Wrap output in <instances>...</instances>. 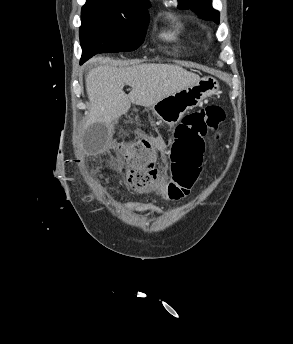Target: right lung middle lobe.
<instances>
[{"label": "right lung middle lobe", "instance_id": "1", "mask_svg": "<svg viewBox=\"0 0 293 344\" xmlns=\"http://www.w3.org/2000/svg\"><path fill=\"white\" fill-rule=\"evenodd\" d=\"M81 22L82 64L97 53L137 49L143 42L149 18L134 9L86 2Z\"/></svg>", "mask_w": 293, "mask_h": 344}]
</instances>
